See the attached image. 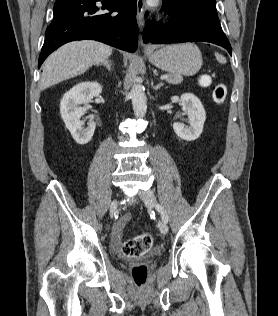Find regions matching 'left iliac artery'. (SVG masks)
Masks as SVG:
<instances>
[{"label":"left iliac artery","mask_w":278,"mask_h":316,"mask_svg":"<svg viewBox=\"0 0 278 316\" xmlns=\"http://www.w3.org/2000/svg\"><path fill=\"white\" fill-rule=\"evenodd\" d=\"M156 209L161 214L162 220L167 223L168 222V215H167L164 207L162 205H160V204H157L156 205Z\"/></svg>","instance_id":"44dca946"}]
</instances>
